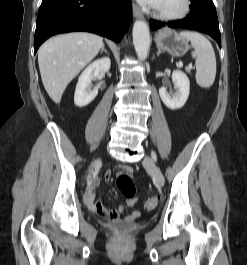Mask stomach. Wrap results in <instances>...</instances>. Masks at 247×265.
Returning a JSON list of instances; mask_svg holds the SVG:
<instances>
[{"instance_id": "0dacf381", "label": "stomach", "mask_w": 247, "mask_h": 265, "mask_svg": "<svg viewBox=\"0 0 247 265\" xmlns=\"http://www.w3.org/2000/svg\"><path fill=\"white\" fill-rule=\"evenodd\" d=\"M155 42L158 48L167 51L174 57L185 55L190 48L188 41L171 29L158 32Z\"/></svg>"}]
</instances>
